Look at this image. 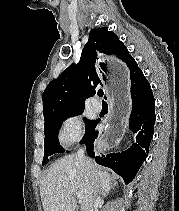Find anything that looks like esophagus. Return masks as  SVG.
I'll list each match as a JSON object with an SVG mask.
<instances>
[{
    "instance_id": "1",
    "label": "esophagus",
    "mask_w": 179,
    "mask_h": 211,
    "mask_svg": "<svg viewBox=\"0 0 179 211\" xmlns=\"http://www.w3.org/2000/svg\"><path fill=\"white\" fill-rule=\"evenodd\" d=\"M111 63V64H110ZM119 56H103L99 59L100 79L105 82L109 94V119H106V128L101 133L98 149H112V145H119L123 141V134L127 130V121L131 109L129 98L128 74L126 64H119Z\"/></svg>"
}]
</instances>
